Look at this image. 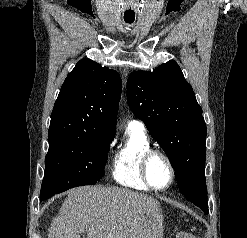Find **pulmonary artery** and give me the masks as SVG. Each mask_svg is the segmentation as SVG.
Returning a JSON list of instances; mask_svg holds the SVG:
<instances>
[{
    "label": "pulmonary artery",
    "instance_id": "1",
    "mask_svg": "<svg viewBox=\"0 0 247 238\" xmlns=\"http://www.w3.org/2000/svg\"><path fill=\"white\" fill-rule=\"evenodd\" d=\"M129 125H133V126H136V127L141 128V129H144V124L140 120H136V119L131 120L130 123H129Z\"/></svg>",
    "mask_w": 247,
    "mask_h": 238
}]
</instances>
